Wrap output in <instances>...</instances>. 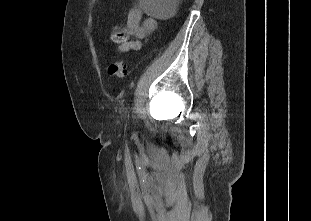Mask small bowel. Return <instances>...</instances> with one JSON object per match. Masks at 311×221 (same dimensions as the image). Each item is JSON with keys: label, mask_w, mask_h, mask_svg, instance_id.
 Here are the masks:
<instances>
[{"label": "small bowel", "mask_w": 311, "mask_h": 221, "mask_svg": "<svg viewBox=\"0 0 311 221\" xmlns=\"http://www.w3.org/2000/svg\"><path fill=\"white\" fill-rule=\"evenodd\" d=\"M142 12L139 8H132L127 16L126 29L128 35L135 38L121 43L118 47L120 53L130 50H139L141 48L140 40L153 32L157 27V20L153 17H147L141 23Z\"/></svg>", "instance_id": "small-bowel-1"}]
</instances>
